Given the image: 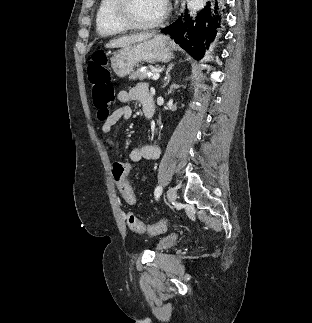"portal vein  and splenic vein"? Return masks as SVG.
I'll return each mask as SVG.
<instances>
[{"label": "portal vein and splenic vein", "instance_id": "18ae733b", "mask_svg": "<svg viewBox=\"0 0 312 323\" xmlns=\"http://www.w3.org/2000/svg\"><path fill=\"white\" fill-rule=\"evenodd\" d=\"M149 78H152V80H159L160 74L159 72H155V74H148Z\"/></svg>", "mask_w": 312, "mask_h": 323}]
</instances>
